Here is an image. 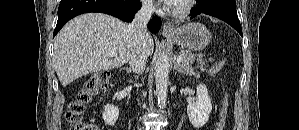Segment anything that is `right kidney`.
<instances>
[{
	"label": "right kidney",
	"mask_w": 299,
	"mask_h": 130,
	"mask_svg": "<svg viewBox=\"0 0 299 130\" xmlns=\"http://www.w3.org/2000/svg\"><path fill=\"white\" fill-rule=\"evenodd\" d=\"M119 117V109L114 105L107 104L104 106V111L102 112V118L104 122L110 126H113Z\"/></svg>",
	"instance_id": "1"
}]
</instances>
